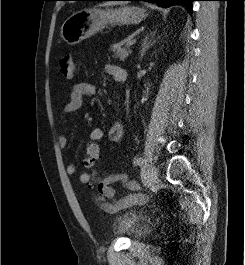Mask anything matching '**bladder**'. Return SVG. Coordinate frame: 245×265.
<instances>
[{
    "mask_svg": "<svg viewBox=\"0 0 245 265\" xmlns=\"http://www.w3.org/2000/svg\"><path fill=\"white\" fill-rule=\"evenodd\" d=\"M152 229V220L141 213H129L121 215L116 220L115 231L119 235L131 239H139L146 236Z\"/></svg>",
    "mask_w": 245,
    "mask_h": 265,
    "instance_id": "31cf9c89",
    "label": "bladder"
}]
</instances>
